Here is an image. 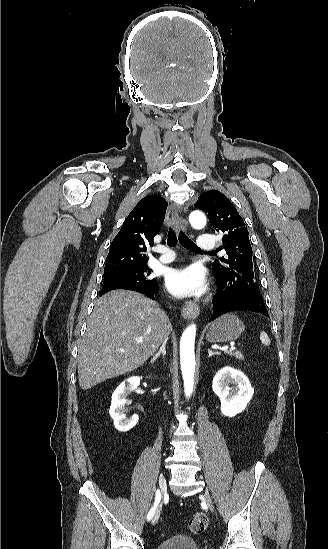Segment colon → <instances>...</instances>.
Segmentation results:
<instances>
[{
    "label": "colon",
    "instance_id": "colon-1",
    "mask_svg": "<svg viewBox=\"0 0 328 549\" xmlns=\"http://www.w3.org/2000/svg\"><path fill=\"white\" fill-rule=\"evenodd\" d=\"M208 525L207 516L204 513L198 512L189 520L188 528L194 534H200L205 531Z\"/></svg>",
    "mask_w": 328,
    "mask_h": 549
}]
</instances>
